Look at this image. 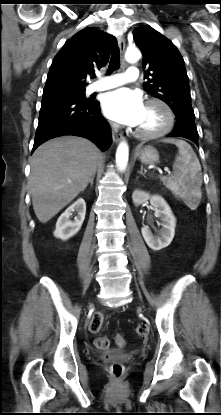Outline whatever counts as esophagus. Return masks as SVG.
I'll use <instances>...</instances> for the list:
<instances>
[{
	"mask_svg": "<svg viewBox=\"0 0 221 415\" xmlns=\"http://www.w3.org/2000/svg\"><path fill=\"white\" fill-rule=\"evenodd\" d=\"M125 46H126V44H125V39H124V37L123 36H119L118 37V47H119V50H120V52H121V54L123 55L124 54V52H125ZM124 139V137H123V135L122 134H118V133H113V141L115 142V143H119L121 140H123Z\"/></svg>",
	"mask_w": 221,
	"mask_h": 415,
	"instance_id": "esophagus-1",
	"label": "esophagus"
}]
</instances>
